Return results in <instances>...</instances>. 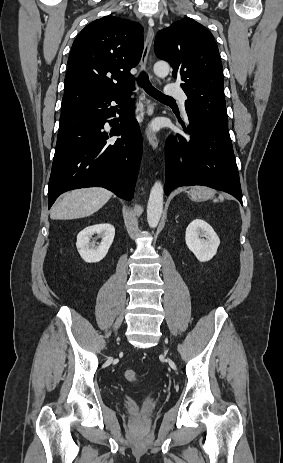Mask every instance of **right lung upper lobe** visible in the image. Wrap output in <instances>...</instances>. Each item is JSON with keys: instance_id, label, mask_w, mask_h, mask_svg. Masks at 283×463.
Returning <instances> with one entry per match:
<instances>
[{"instance_id": "obj_1", "label": "right lung upper lobe", "mask_w": 283, "mask_h": 463, "mask_svg": "<svg viewBox=\"0 0 283 463\" xmlns=\"http://www.w3.org/2000/svg\"><path fill=\"white\" fill-rule=\"evenodd\" d=\"M143 28L137 22L105 16L87 25L68 59L62 113L133 85L130 70L140 61Z\"/></svg>"}]
</instances>
